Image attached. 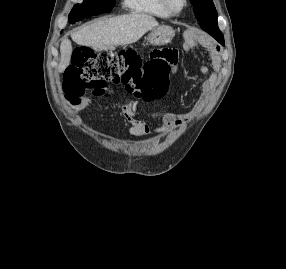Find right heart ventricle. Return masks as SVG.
<instances>
[{
    "instance_id": "e07e8e85",
    "label": "right heart ventricle",
    "mask_w": 286,
    "mask_h": 269,
    "mask_svg": "<svg viewBox=\"0 0 286 269\" xmlns=\"http://www.w3.org/2000/svg\"><path fill=\"white\" fill-rule=\"evenodd\" d=\"M124 9L134 14L158 18H169L171 15L164 9L161 0H122Z\"/></svg>"
}]
</instances>
